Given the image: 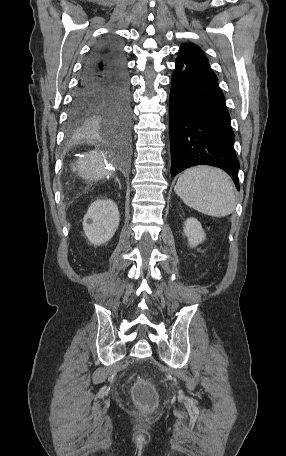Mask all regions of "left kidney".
<instances>
[{
    "instance_id": "obj_1",
    "label": "left kidney",
    "mask_w": 286,
    "mask_h": 456,
    "mask_svg": "<svg viewBox=\"0 0 286 456\" xmlns=\"http://www.w3.org/2000/svg\"><path fill=\"white\" fill-rule=\"evenodd\" d=\"M184 225V234L187 236L191 247H196L205 239V233L197 219L193 217L188 218Z\"/></svg>"
}]
</instances>
